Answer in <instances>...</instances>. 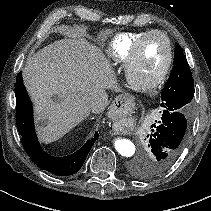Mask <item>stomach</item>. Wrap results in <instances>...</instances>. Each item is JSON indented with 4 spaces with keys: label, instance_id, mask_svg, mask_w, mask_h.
Wrapping results in <instances>:
<instances>
[{
    "label": "stomach",
    "instance_id": "0dacf381",
    "mask_svg": "<svg viewBox=\"0 0 211 211\" xmlns=\"http://www.w3.org/2000/svg\"><path fill=\"white\" fill-rule=\"evenodd\" d=\"M134 109L133 99L128 96H120L116 98L111 107V115L113 118H121L129 116Z\"/></svg>",
    "mask_w": 211,
    "mask_h": 211
}]
</instances>
